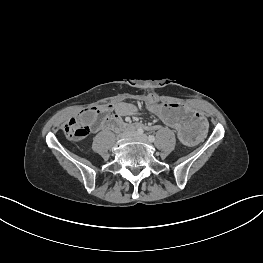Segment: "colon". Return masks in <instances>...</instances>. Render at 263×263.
<instances>
[{
    "label": "colon",
    "instance_id": "colon-1",
    "mask_svg": "<svg viewBox=\"0 0 263 263\" xmlns=\"http://www.w3.org/2000/svg\"><path fill=\"white\" fill-rule=\"evenodd\" d=\"M113 106L110 104L104 105L98 109L95 114L97 116H104L112 110ZM90 131V127L86 124L82 116H77L70 119L64 125V132L70 139L79 141L85 138Z\"/></svg>",
    "mask_w": 263,
    "mask_h": 263
}]
</instances>
